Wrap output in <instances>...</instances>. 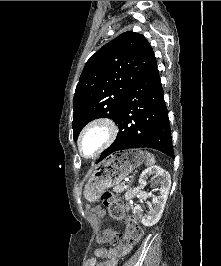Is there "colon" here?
<instances>
[{
    "label": "colon",
    "instance_id": "obj_1",
    "mask_svg": "<svg viewBox=\"0 0 221 266\" xmlns=\"http://www.w3.org/2000/svg\"><path fill=\"white\" fill-rule=\"evenodd\" d=\"M102 204L107 208L111 218L115 220H124L126 224L125 233H118L112 230L103 231L98 241L100 243H110L113 245H122L125 243L134 244L140 240L143 231L136 219L133 217H126L124 215L122 202L114 196L110 191H105L100 196Z\"/></svg>",
    "mask_w": 221,
    "mask_h": 266
}]
</instances>
